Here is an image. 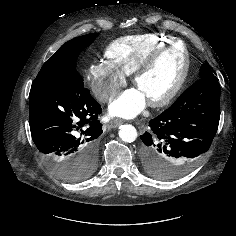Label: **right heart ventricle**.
<instances>
[{
  "label": "right heart ventricle",
  "instance_id": "1",
  "mask_svg": "<svg viewBox=\"0 0 236 236\" xmlns=\"http://www.w3.org/2000/svg\"><path fill=\"white\" fill-rule=\"evenodd\" d=\"M168 34L149 33L119 38L105 49L107 62L123 75H131L153 51L173 41Z\"/></svg>",
  "mask_w": 236,
  "mask_h": 236
}]
</instances>
